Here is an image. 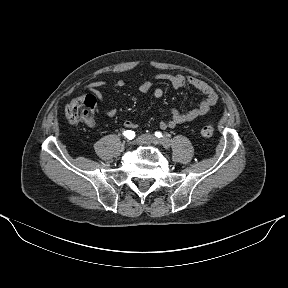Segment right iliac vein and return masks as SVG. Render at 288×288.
I'll return each instance as SVG.
<instances>
[{
    "mask_svg": "<svg viewBox=\"0 0 288 288\" xmlns=\"http://www.w3.org/2000/svg\"><path fill=\"white\" fill-rule=\"evenodd\" d=\"M131 142H127V144L129 145Z\"/></svg>",
    "mask_w": 288,
    "mask_h": 288,
    "instance_id": "right-iliac-vein-1",
    "label": "right iliac vein"
}]
</instances>
